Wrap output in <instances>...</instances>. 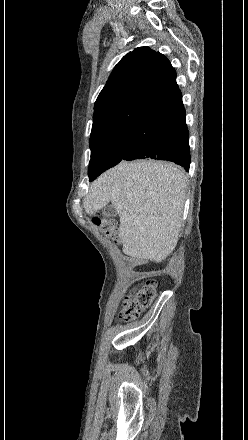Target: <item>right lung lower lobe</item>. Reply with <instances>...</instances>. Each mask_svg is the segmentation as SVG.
<instances>
[{"label":"right lung lower lobe","instance_id":"obj_1","mask_svg":"<svg viewBox=\"0 0 248 440\" xmlns=\"http://www.w3.org/2000/svg\"><path fill=\"white\" fill-rule=\"evenodd\" d=\"M147 158L172 161L189 170V133L182 98L152 113L129 131L122 160Z\"/></svg>","mask_w":248,"mask_h":440}]
</instances>
